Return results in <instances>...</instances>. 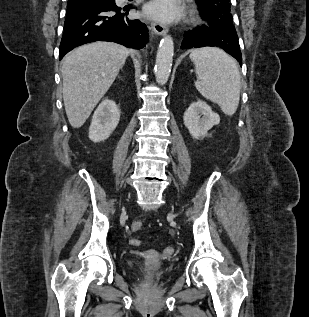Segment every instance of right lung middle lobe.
Returning a JSON list of instances; mask_svg holds the SVG:
<instances>
[{"mask_svg": "<svg viewBox=\"0 0 309 317\" xmlns=\"http://www.w3.org/2000/svg\"><path fill=\"white\" fill-rule=\"evenodd\" d=\"M92 1L105 2V3L115 4V0H92Z\"/></svg>", "mask_w": 309, "mask_h": 317, "instance_id": "dd1d6c3e", "label": "right lung middle lobe"}]
</instances>
